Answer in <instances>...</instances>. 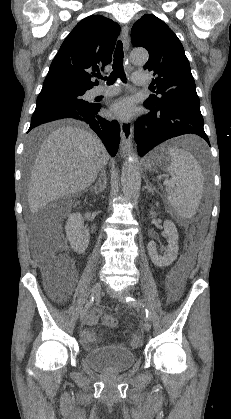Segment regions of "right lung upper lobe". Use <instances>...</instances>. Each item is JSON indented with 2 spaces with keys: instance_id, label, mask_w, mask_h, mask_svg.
<instances>
[{
  "instance_id": "right-lung-upper-lobe-1",
  "label": "right lung upper lobe",
  "mask_w": 231,
  "mask_h": 419,
  "mask_svg": "<svg viewBox=\"0 0 231 419\" xmlns=\"http://www.w3.org/2000/svg\"><path fill=\"white\" fill-rule=\"evenodd\" d=\"M120 26L99 15L81 20L62 43L51 63L43 87L64 85L88 90L91 77L112 60Z\"/></svg>"
}]
</instances>
